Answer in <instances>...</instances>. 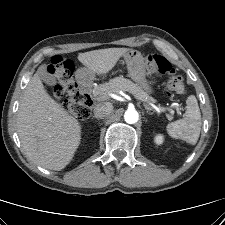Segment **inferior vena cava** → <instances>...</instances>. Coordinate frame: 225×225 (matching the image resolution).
<instances>
[{
    "mask_svg": "<svg viewBox=\"0 0 225 225\" xmlns=\"http://www.w3.org/2000/svg\"><path fill=\"white\" fill-rule=\"evenodd\" d=\"M113 111V105L109 102L98 103L94 107V115L97 118H104L109 116Z\"/></svg>",
    "mask_w": 225,
    "mask_h": 225,
    "instance_id": "inferior-vena-cava-1",
    "label": "inferior vena cava"
}]
</instances>
